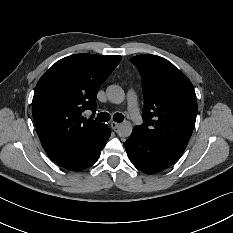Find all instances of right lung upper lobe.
<instances>
[{
    "mask_svg": "<svg viewBox=\"0 0 233 233\" xmlns=\"http://www.w3.org/2000/svg\"><path fill=\"white\" fill-rule=\"evenodd\" d=\"M121 56L76 54L57 61L38 81L32 115L42 146L53 161L66 158L98 140L105 124L86 119L96 111L101 84Z\"/></svg>",
    "mask_w": 233,
    "mask_h": 233,
    "instance_id": "cb5924a9",
    "label": "right lung upper lobe"
}]
</instances>
